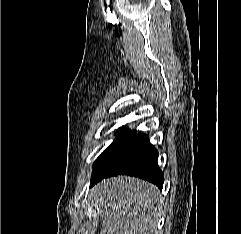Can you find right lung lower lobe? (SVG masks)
Listing matches in <instances>:
<instances>
[{"label":"right lung lower lobe","instance_id":"obj_1","mask_svg":"<svg viewBox=\"0 0 241 234\" xmlns=\"http://www.w3.org/2000/svg\"><path fill=\"white\" fill-rule=\"evenodd\" d=\"M158 151L145 134L118 130L117 138L93 164L91 185L103 178L125 174L148 180L163 187L164 175L157 165Z\"/></svg>","mask_w":241,"mask_h":234}]
</instances>
